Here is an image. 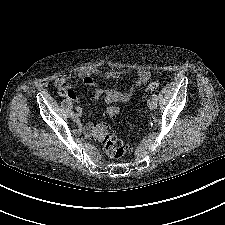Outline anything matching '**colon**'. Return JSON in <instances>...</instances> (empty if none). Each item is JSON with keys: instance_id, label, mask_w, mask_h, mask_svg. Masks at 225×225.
Wrapping results in <instances>:
<instances>
[{"instance_id": "1", "label": "colon", "mask_w": 225, "mask_h": 225, "mask_svg": "<svg viewBox=\"0 0 225 225\" xmlns=\"http://www.w3.org/2000/svg\"><path fill=\"white\" fill-rule=\"evenodd\" d=\"M160 89L158 83H151L144 92V98L150 93H154ZM110 117H116L120 110L115 106H110L106 111ZM92 136L102 145L105 154L111 159H121L128 151V146L114 134L106 123H99L92 131Z\"/></svg>"}]
</instances>
